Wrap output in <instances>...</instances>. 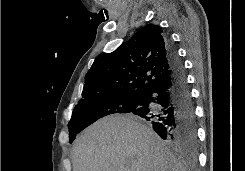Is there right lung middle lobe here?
<instances>
[{
    "mask_svg": "<svg viewBox=\"0 0 245 171\" xmlns=\"http://www.w3.org/2000/svg\"><path fill=\"white\" fill-rule=\"evenodd\" d=\"M142 103V96L119 95L98 100L80 101L75 106L69 126V141L96 120L116 113H131Z\"/></svg>",
    "mask_w": 245,
    "mask_h": 171,
    "instance_id": "right-lung-middle-lobe-1",
    "label": "right lung middle lobe"
}]
</instances>
